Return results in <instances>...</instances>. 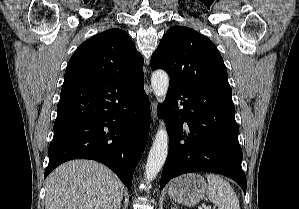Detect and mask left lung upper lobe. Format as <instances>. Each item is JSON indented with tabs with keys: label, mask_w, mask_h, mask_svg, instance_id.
<instances>
[{
	"label": "left lung upper lobe",
	"mask_w": 299,
	"mask_h": 209,
	"mask_svg": "<svg viewBox=\"0 0 299 209\" xmlns=\"http://www.w3.org/2000/svg\"><path fill=\"white\" fill-rule=\"evenodd\" d=\"M163 69L170 83L205 84L230 89L223 58L216 46L197 31L171 27L151 57V69Z\"/></svg>",
	"instance_id": "1"
}]
</instances>
